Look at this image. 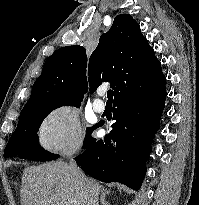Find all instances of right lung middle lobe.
Segmentation results:
<instances>
[{"label": "right lung middle lobe", "instance_id": "1", "mask_svg": "<svg viewBox=\"0 0 199 205\" xmlns=\"http://www.w3.org/2000/svg\"><path fill=\"white\" fill-rule=\"evenodd\" d=\"M79 105L61 101H34L27 103L20 113L18 126L7 143L4 158L19 156V158L36 161H51L59 158V155L51 154L39 146L37 132L44 118L52 110L61 106ZM95 126L86 129L83 145L88 141Z\"/></svg>", "mask_w": 199, "mask_h": 205}]
</instances>
